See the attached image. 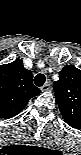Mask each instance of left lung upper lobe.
<instances>
[{
  "label": "left lung upper lobe",
  "instance_id": "left-lung-upper-lobe-1",
  "mask_svg": "<svg viewBox=\"0 0 81 155\" xmlns=\"http://www.w3.org/2000/svg\"><path fill=\"white\" fill-rule=\"evenodd\" d=\"M59 75L53 89L63 119L81 125V70L69 65Z\"/></svg>",
  "mask_w": 81,
  "mask_h": 155
}]
</instances>
